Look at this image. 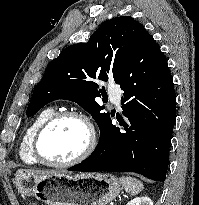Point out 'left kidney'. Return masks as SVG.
<instances>
[{
    "instance_id": "left-kidney-1",
    "label": "left kidney",
    "mask_w": 199,
    "mask_h": 205,
    "mask_svg": "<svg viewBox=\"0 0 199 205\" xmlns=\"http://www.w3.org/2000/svg\"><path fill=\"white\" fill-rule=\"evenodd\" d=\"M126 205H153L152 200L145 196V197H136L128 202Z\"/></svg>"
}]
</instances>
